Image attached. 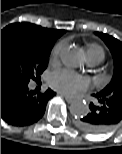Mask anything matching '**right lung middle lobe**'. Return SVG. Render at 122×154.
Here are the masks:
<instances>
[{
	"instance_id": "right-lung-middle-lobe-1",
	"label": "right lung middle lobe",
	"mask_w": 122,
	"mask_h": 154,
	"mask_svg": "<svg viewBox=\"0 0 122 154\" xmlns=\"http://www.w3.org/2000/svg\"><path fill=\"white\" fill-rule=\"evenodd\" d=\"M53 43L37 38L24 23L5 27L1 30V82L28 84L40 79Z\"/></svg>"
}]
</instances>
